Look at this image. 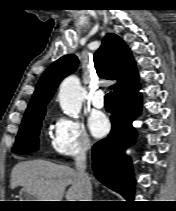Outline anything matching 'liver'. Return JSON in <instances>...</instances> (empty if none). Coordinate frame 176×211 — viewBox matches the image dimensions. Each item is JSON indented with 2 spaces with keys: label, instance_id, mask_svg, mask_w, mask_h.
Returning <instances> with one entry per match:
<instances>
[{
  "label": "liver",
  "instance_id": "obj_1",
  "mask_svg": "<svg viewBox=\"0 0 176 211\" xmlns=\"http://www.w3.org/2000/svg\"><path fill=\"white\" fill-rule=\"evenodd\" d=\"M66 201H82L83 186L78 172L68 166L46 160L19 162L11 172L10 187L22 186L39 201H62L66 187ZM98 186V182L95 181Z\"/></svg>",
  "mask_w": 176,
  "mask_h": 211
}]
</instances>
